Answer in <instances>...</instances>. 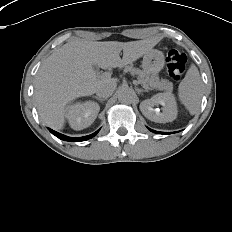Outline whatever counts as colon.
<instances>
[{"instance_id":"colon-1","label":"colon","mask_w":232,"mask_h":232,"mask_svg":"<svg viewBox=\"0 0 232 232\" xmlns=\"http://www.w3.org/2000/svg\"><path fill=\"white\" fill-rule=\"evenodd\" d=\"M186 61L187 58L183 53L170 50L166 57V68L169 76L174 80H179L184 73Z\"/></svg>"}]
</instances>
